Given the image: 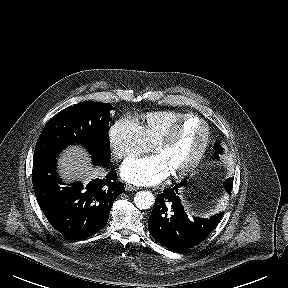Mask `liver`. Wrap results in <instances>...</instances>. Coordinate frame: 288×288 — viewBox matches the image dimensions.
I'll list each match as a JSON object with an SVG mask.
<instances>
[{
  "mask_svg": "<svg viewBox=\"0 0 288 288\" xmlns=\"http://www.w3.org/2000/svg\"><path fill=\"white\" fill-rule=\"evenodd\" d=\"M59 174L65 181L82 180L89 182L96 174L88 153L79 146L68 147L58 159Z\"/></svg>",
  "mask_w": 288,
  "mask_h": 288,
  "instance_id": "6515ba94",
  "label": "liver"
}]
</instances>
